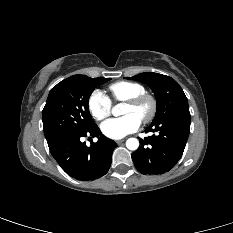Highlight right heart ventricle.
Masks as SVG:
<instances>
[{
	"label": "right heart ventricle",
	"instance_id": "right-heart-ventricle-1",
	"mask_svg": "<svg viewBox=\"0 0 233 233\" xmlns=\"http://www.w3.org/2000/svg\"><path fill=\"white\" fill-rule=\"evenodd\" d=\"M110 99L114 102H125L145 93L143 85L132 81H118L108 86Z\"/></svg>",
	"mask_w": 233,
	"mask_h": 233
}]
</instances>
